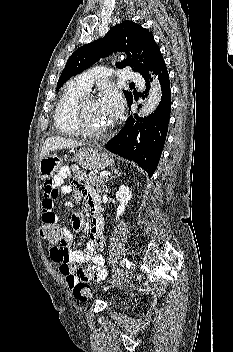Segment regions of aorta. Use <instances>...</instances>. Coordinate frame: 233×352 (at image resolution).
Masks as SVG:
<instances>
[{
    "instance_id": "obj_1",
    "label": "aorta",
    "mask_w": 233,
    "mask_h": 352,
    "mask_svg": "<svg viewBox=\"0 0 233 352\" xmlns=\"http://www.w3.org/2000/svg\"><path fill=\"white\" fill-rule=\"evenodd\" d=\"M120 58H123L122 56ZM154 77V76H153ZM162 91L159 80L154 77L148 98L139 111V116L145 117L154 112L161 101Z\"/></svg>"
}]
</instances>
